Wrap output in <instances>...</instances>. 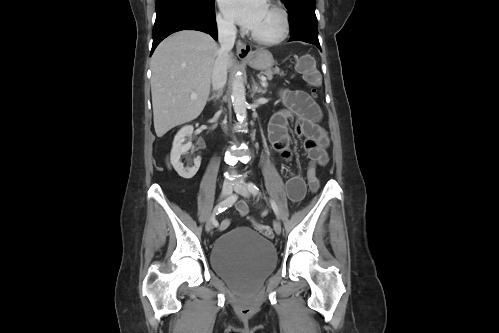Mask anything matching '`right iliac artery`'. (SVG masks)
<instances>
[{
  "label": "right iliac artery",
  "instance_id": "82829eb1",
  "mask_svg": "<svg viewBox=\"0 0 499 333\" xmlns=\"http://www.w3.org/2000/svg\"><path fill=\"white\" fill-rule=\"evenodd\" d=\"M236 200H237V195L233 194L230 197H228L226 200L219 203L214 209L212 220L215 221V215L231 207L236 202Z\"/></svg>",
  "mask_w": 499,
  "mask_h": 333
}]
</instances>
